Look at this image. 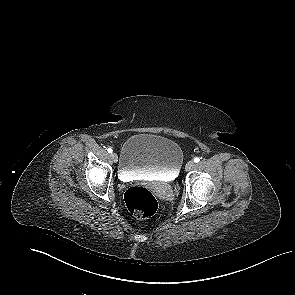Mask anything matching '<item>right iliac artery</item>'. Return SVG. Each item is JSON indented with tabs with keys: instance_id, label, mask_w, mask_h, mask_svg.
I'll return each instance as SVG.
<instances>
[{
	"instance_id": "1",
	"label": "right iliac artery",
	"mask_w": 295,
	"mask_h": 295,
	"mask_svg": "<svg viewBox=\"0 0 295 295\" xmlns=\"http://www.w3.org/2000/svg\"><path fill=\"white\" fill-rule=\"evenodd\" d=\"M107 151H108V153H112L113 150H112V148H108Z\"/></svg>"
}]
</instances>
